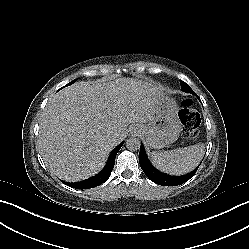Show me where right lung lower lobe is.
<instances>
[{"mask_svg": "<svg viewBox=\"0 0 249 249\" xmlns=\"http://www.w3.org/2000/svg\"><path fill=\"white\" fill-rule=\"evenodd\" d=\"M123 143L124 142L119 144L112 151V153H111V155L106 163V166L99 174L95 175L94 177H92L90 179L84 180L80 183H74V184H70V185L77 188V189H89V188H94V187L99 186L102 183H104L109 178L111 171L113 170L116 154L120 150Z\"/></svg>", "mask_w": 249, "mask_h": 249, "instance_id": "98d812e1", "label": "right lung lower lobe"}]
</instances>
